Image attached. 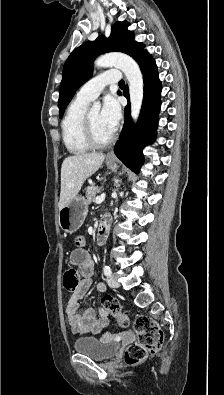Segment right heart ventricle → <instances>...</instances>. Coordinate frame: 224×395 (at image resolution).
<instances>
[{
  "label": "right heart ventricle",
  "mask_w": 224,
  "mask_h": 395,
  "mask_svg": "<svg viewBox=\"0 0 224 395\" xmlns=\"http://www.w3.org/2000/svg\"><path fill=\"white\" fill-rule=\"evenodd\" d=\"M87 101L75 98L67 108L62 121V136L66 148L73 154H82L90 149L83 134V117Z\"/></svg>",
  "instance_id": "1"
}]
</instances>
